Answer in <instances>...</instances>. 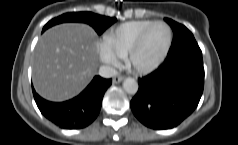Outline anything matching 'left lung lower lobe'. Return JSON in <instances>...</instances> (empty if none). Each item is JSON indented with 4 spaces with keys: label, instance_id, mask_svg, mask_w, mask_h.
<instances>
[{
    "label": "left lung lower lobe",
    "instance_id": "1",
    "mask_svg": "<svg viewBox=\"0 0 238 145\" xmlns=\"http://www.w3.org/2000/svg\"><path fill=\"white\" fill-rule=\"evenodd\" d=\"M176 39L186 36L187 28L171 24ZM204 88L202 52L197 43L168 53L151 74L139 79V90L130 105L136 118L152 129L179 125L197 107Z\"/></svg>",
    "mask_w": 238,
    "mask_h": 145
}]
</instances>
